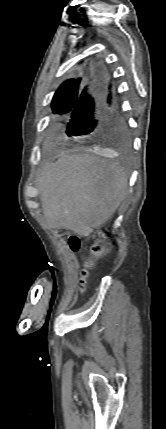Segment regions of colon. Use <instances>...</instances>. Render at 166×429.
Segmentation results:
<instances>
[{"label": "colon", "instance_id": "obj_1", "mask_svg": "<svg viewBox=\"0 0 166 429\" xmlns=\"http://www.w3.org/2000/svg\"><path fill=\"white\" fill-rule=\"evenodd\" d=\"M67 242H68V245L70 246V248H71L72 250H74V251H75V250H78V248L80 247V240H79V238H78L77 236H75V235L69 236V237H68V239H67ZM91 251H92V258H91L90 260H88V261H87V263H86V266H87V267L92 266V264H93L94 260H95L97 257H99V256L103 253V251H104L103 240H102V239L98 240V241H97V242L92 246ZM85 280H86V272L84 271V272H83V275H82V277H81V283H82V285H81V290H83V289H84V283H85Z\"/></svg>", "mask_w": 166, "mask_h": 429}]
</instances>
